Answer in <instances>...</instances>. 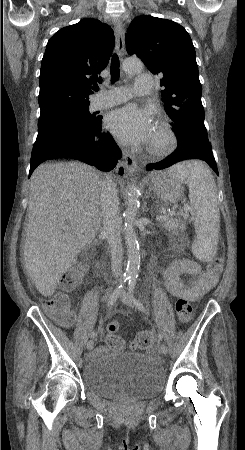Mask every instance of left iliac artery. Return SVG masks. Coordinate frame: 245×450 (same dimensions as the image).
<instances>
[{
	"instance_id": "left-iliac-artery-1",
	"label": "left iliac artery",
	"mask_w": 245,
	"mask_h": 450,
	"mask_svg": "<svg viewBox=\"0 0 245 450\" xmlns=\"http://www.w3.org/2000/svg\"><path fill=\"white\" fill-rule=\"evenodd\" d=\"M136 281H137V277H135V276L130 277L129 282H128L127 291H128V294H129L134 306L137 309H139L140 311L145 312L146 310H145L144 305L138 299H136L134 296ZM162 338H163V336L161 335V333H158L159 341H162Z\"/></svg>"
}]
</instances>
